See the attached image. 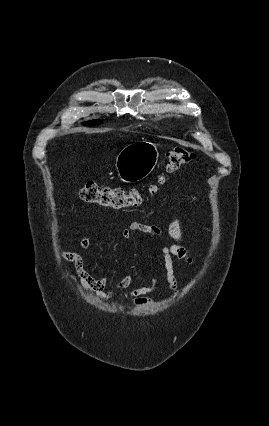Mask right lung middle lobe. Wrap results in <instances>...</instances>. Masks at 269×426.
Returning a JSON list of instances; mask_svg holds the SVG:
<instances>
[{
    "mask_svg": "<svg viewBox=\"0 0 269 426\" xmlns=\"http://www.w3.org/2000/svg\"><path fill=\"white\" fill-rule=\"evenodd\" d=\"M83 124L87 125V126L99 125L98 122H86V123H83Z\"/></svg>",
    "mask_w": 269,
    "mask_h": 426,
    "instance_id": "right-lung-middle-lobe-1",
    "label": "right lung middle lobe"
}]
</instances>
